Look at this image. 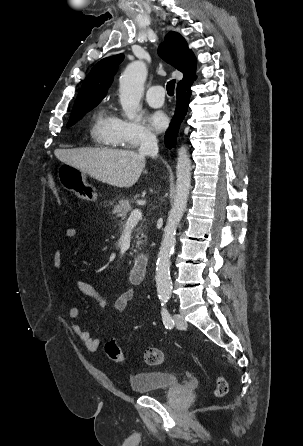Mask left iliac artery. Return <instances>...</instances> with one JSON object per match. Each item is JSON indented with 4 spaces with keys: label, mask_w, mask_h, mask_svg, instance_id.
Instances as JSON below:
<instances>
[{
    "label": "left iliac artery",
    "mask_w": 303,
    "mask_h": 446,
    "mask_svg": "<svg viewBox=\"0 0 303 446\" xmlns=\"http://www.w3.org/2000/svg\"><path fill=\"white\" fill-rule=\"evenodd\" d=\"M166 303L167 300H163L161 305H162V310H161V315H162V320H163V324L167 329H171L174 326V321L169 313V311L166 308Z\"/></svg>",
    "instance_id": "1"
}]
</instances>
